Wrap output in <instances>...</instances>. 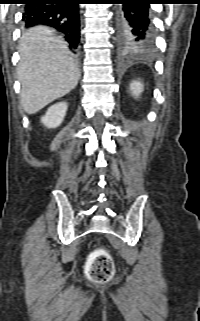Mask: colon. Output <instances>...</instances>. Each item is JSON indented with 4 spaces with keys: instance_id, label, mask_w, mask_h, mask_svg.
<instances>
[{
    "instance_id": "1",
    "label": "colon",
    "mask_w": 200,
    "mask_h": 321,
    "mask_svg": "<svg viewBox=\"0 0 200 321\" xmlns=\"http://www.w3.org/2000/svg\"><path fill=\"white\" fill-rule=\"evenodd\" d=\"M88 276L94 281H106L114 273V265L110 255L102 250L94 251L88 262Z\"/></svg>"
}]
</instances>
